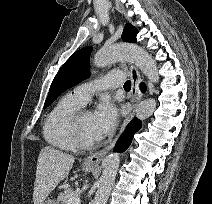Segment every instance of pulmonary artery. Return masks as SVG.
Wrapping results in <instances>:
<instances>
[{
    "label": "pulmonary artery",
    "instance_id": "pulmonary-artery-1",
    "mask_svg": "<svg viewBox=\"0 0 212 204\" xmlns=\"http://www.w3.org/2000/svg\"><path fill=\"white\" fill-rule=\"evenodd\" d=\"M124 75L120 72L104 75L92 82L77 86L73 92V97L81 104L85 105L92 95L101 90L115 88L123 84Z\"/></svg>",
    "mask_w": 212,
    "mask_h": 204
}]
</instances>
